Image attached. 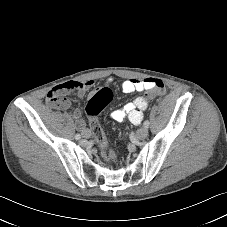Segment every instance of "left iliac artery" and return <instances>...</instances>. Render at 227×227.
Returning <instances> with one entry per match:
<instances>
[{"label": "left iliac artery", "mask_w": 227, "mask_h": 227, "mask_svg": "<svg viewBox=\"0 0 227 227\" xmlns=\"http://www.w3.org/2000/svg\"><path fill=\"white\" fill-rule=\"evenodd\" d=\"M149 124H150V123H149V121H148V120H146V121L144 122V124H143V125H144V127L148 128V127H149Z\"/></svg>", "instance_id": "1"}]
</instances>
